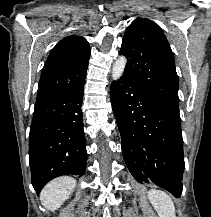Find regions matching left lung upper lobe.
Segmentation results:
<instances>
[{
    "mask_svg": "<svg viewBox=\"0 0 211 217\" xmlns=\"http://www.w3.org/2000/svg\"><path fill=\"white\" fill-rule=\"evenodd\" d=\"M120 54L128 59L123 75L163 107L179 114V79L172 50L161 28L149 19H135L124 34Z\"/></svg>",
    "mask_w": 211,
    "mask_h": 217,
    "instance_id": "obj_1",
    "label": "left lung upper lobe"
}]
</instances>
